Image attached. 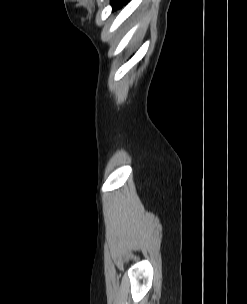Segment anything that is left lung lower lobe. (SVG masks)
<instances>
[{"label": "left lung lower lobe", "mask_w": 247, "mask_h": 304, "mask_svg": "<svg viewBox=\"0 0 247 304\" xmlns=\"http://www.w3.org/2000/svg\"><path fill=\"white\" fill-rule=\"evenodd\" d=\"M129 0H111V5L113 7V11L121 8L125 5Z\"/></svg>", "instance_id": "left-lung-lower-lobe-1"}]
</instances>
